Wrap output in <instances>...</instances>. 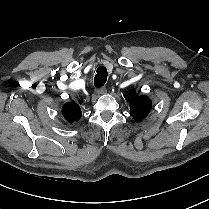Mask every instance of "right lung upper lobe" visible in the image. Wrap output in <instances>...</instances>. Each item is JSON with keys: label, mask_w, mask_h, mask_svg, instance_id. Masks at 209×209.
I'll list each match as a JSON object with an SVG mask.
<instances>
[{"label": "right lung upper lobe", "mask_w": 209, "mask_h": 209, "mask_svg": "<svg viewBox=\"0 0 209 209\" xmlns=\"http://www.w3.org/2000/svg\"><path fill=\"white\" fill-rule=\"evenodd\" d=\"M79 103H81V100H79ZM62 114L68 122L72 123L81 118L82 112L77 103L68 102L64 104L62 108Z\"/></svg>", "instance_id": "cb5924a9"}]
</instances>
